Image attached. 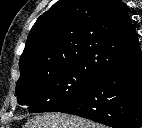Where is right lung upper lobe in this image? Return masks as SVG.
<instances>
[{"label": "right lung upper lobe", "mask_w": 142, "mask_h": 128, "mask_svg": "<svg viewBox=\"0 0 142 128\" xmlns=\"http://www.w3.org/2000/svg\"><path fill=\"white\" fill-rule=\"evenodd\" d=\"M142 57L121 0H60L33 25L20 58V78L79 65L99 78Z\"/></svg>", "instance_id": "cb5924a9"}]
</instances>
